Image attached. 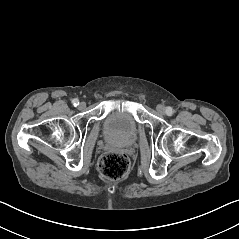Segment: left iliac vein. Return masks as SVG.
Returning <instances> with one entry per match:
<instances>
[{"label": "left iliac vein", "mask_w": 239, "mask_h": 239, "mask_svg": "<svg viewBox=\"0 0 239 239\" xmlns=\"http://www.w3.org/2000/svg\"><path fill=\"white\" fill-rule=\"evenodd\" d=\"M156 109L160 114H165L166 113V108H165L164 105H158Z\"/></svg>", "instance_id": "obj_1"}]
</instances>
